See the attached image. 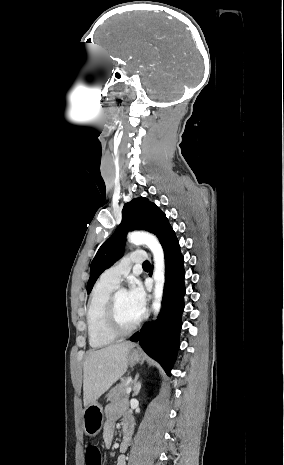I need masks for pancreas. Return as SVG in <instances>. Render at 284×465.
<instances>
[{
    "label": "pancreas",
    "mask_w": 284,
    "mask_h": 465,
    "mask_svg": "<svg viewBox=\"0 0 284 465\" xmlns=\"http://www.w3.org/2000/svg\"><path fill=\"white\" fill-rule=\"evenodd\" d=\"M128 381L129 379H124V381H121L120 385L113 387L108 393V401L116 403V401H120V399H128L126 391L131 387V383H128Z\"/></svg>",
    "instance_id": "cf45deb5"
}]
</instances>
